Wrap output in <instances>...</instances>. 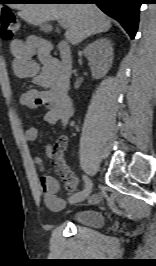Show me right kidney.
<instances>
[{"mask_svg": "<svg viewBox=\"0 0 156 266\" xmlns=\"http://www.w3.org/2000/svg\"><path fill=\"white\" fill-rule=\"evenodd\" d=\"M84 55L89 61L93 77L98 79L112 66L113 44L107 38L97 39L84 49Z\"/></svg>", "mask_w": 156, "mask_h": 266, "instance_id": "ca27d5eb", "label": "right kidney"}]
</instances>
